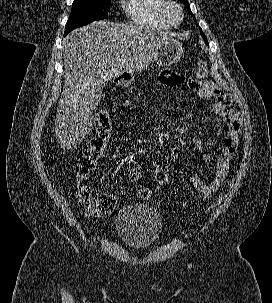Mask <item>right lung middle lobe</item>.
Here are the masks:
<instances>
[{"label":"right lung middle lobe","mask_w":272,"mask_h":303,"mask_svg":"<svg viewBox=\"0 0 272 303\" xmlns=\"http://www.w3.org/2000/svg\"><path fill=\"white\" fill-rule=\"evenodd\" d=\"M110 2L111 0H75L66 23L64 35L75 28L107 18L110 11Z\"/></svg>","instance_id":"1"}]
</instances>
